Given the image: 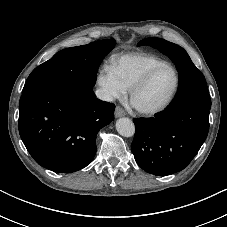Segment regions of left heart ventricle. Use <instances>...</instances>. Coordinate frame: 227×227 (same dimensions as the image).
<instances>
[{
    "label": "left heart ventricle",
    "instance_id": "b2bd125f",
    "mask_svg": "<svg viewBox=\"0 0 227 227\" xmlns=\"http://www.w3.org/2000/svg\"><path fill=\"white\" fill-rule=\"evenodd\" d=\"M175 86V73L165 68L155 74L148 84L134 98L136 106L150 109L160 106L166 101Z\"/></svg>",
    "mask_w": 227,
    "mask_h": 227
}]
</instances>
